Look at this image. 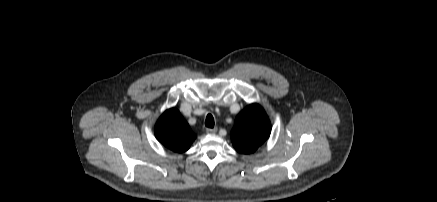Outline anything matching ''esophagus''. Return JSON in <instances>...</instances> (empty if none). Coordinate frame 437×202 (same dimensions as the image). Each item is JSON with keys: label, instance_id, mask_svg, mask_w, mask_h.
Instances as JSON below:
<instances>
[{"label": "esophagus", "instance_id": "obj_1", "mask_svg": "<svg viewBox=\"0 0 437 202\" xmlns=\"http://www.w3.org/2000/svg\"><path fill=\"white\" fill-rule=\"evenodd\" d=\"M206 132L208 134H215L217 132V128H207Z\"/></svg>", "mask_w": 437, "mask_h": 202}]
</instances>
